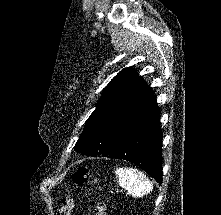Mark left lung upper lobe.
<instances>
[{
  "label": "left lung upper lobe",
  "mask_w": 221,
  "mask_h": 215,
  "mask_svg": "<svg viewBox=\"0 0 221 215\" xmlns=\"http://www.w3.org/2000/svg\"><path fill=\"white\" fill-rule=\"evenodd\" d=\"M148 91V85L131 68L120 71L106 86L96 109L86 121L75 150L85 155H101L118 122Z\"/></svg>",
  "instance_id": "obj_1"
}]
</instances>
